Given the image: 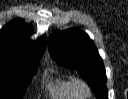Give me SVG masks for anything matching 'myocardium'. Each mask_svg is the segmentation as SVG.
<instances>
[{
	"label": "myocardium",
	"mask_w": 128,
	"mask_h": 99,
	"mask_svg": "<svg viewBox=\"0 0 128 99\" xmlns=\"http://www.w3.org/2000/svg\"><path fill=\"white\" fill-rule=\"evenodd\" d=\"M72 88H73L75 95L78 98H86V97H89L91 94V89H90L88 83L81 78H74L72 80ZM81 89H83L85 91L84 94H82L80 92Z\"/></svg>",
	"instance_id": "1"
}]
</instances>
